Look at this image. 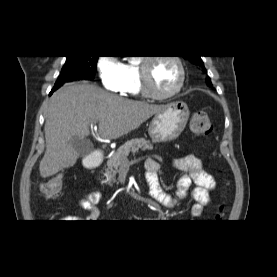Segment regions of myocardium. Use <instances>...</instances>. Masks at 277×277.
<instances>
[{
  "instance_id": "myocardium-1",
  "label": "myocardium",
  "mask_w": 277,
  "mask_h": 277,
  "mask_svg": "<svg viewBox=\"0 0 277 277\" xmlns=\"http://www.w3.org/2000/svg\"><path fill=\"white\" fill-rule=\"evenodd\" d=\"M161 59L172 61L177 66L179 71V79L177 85L170 92L165 94L155 92L150 84L151 66L155 61ZM139 78L140 89L143 95L155 100H165L174 97L183 89L186 79V70L181 58L175 55H159L153 57H145L139 67Z\"/></svg>"
}]
</instances>
